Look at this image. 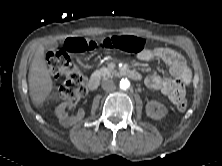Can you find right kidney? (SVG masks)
Returning a JSON list of instances; mask_svg holds the SVG:
<instances>
[{
  "instance_id": "right-kidney-1",
  "label": "right kidney",
  "mask_w": 222,
  "mask_h": 166,
  "mask_svg": "<svg viewBox=\"0 0 222 166\" xmlns=\"http://www.w3.org/2000/svg\"><path fill=\"white\" fill-rule=\"evenodd\" d=\"M72 105V101H66L61 103L57 108L55 109V114L59 118V123L64 127H70L80 120L83 119L85 112L83 109H79L76 116L69 117L67 113H65L66 107Z\"/></svg>"
}]
</instances>
